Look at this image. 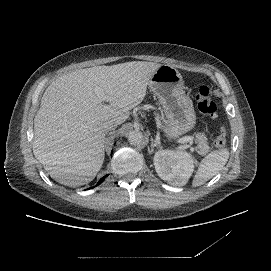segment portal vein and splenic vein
<instances>
[{"label":"portal vein and splenic vein","instance_id":"obj_1","mask_svg":"<svg viewBox=\"0 0 271 271\" xmlns=\"http://www.w3.org/2000/svg\"><path fill=\"white\" fill-rule=\"evenodd\" d=\"M182 142L193 143L194 137L193 136H186V137L182 138Z\"/></svg>","mask_w":271,"mask_h":271}]
</instances>
